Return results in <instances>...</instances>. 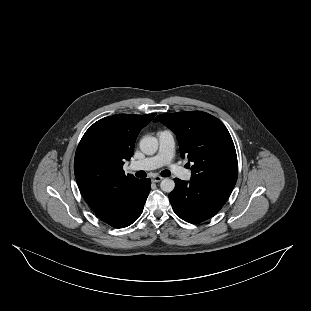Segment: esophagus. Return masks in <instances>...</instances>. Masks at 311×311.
<instances>
[{
	"mask_svg": "<svg viewBox=\"0 0 311 311\" xmlns=\"http://www.w3.org/2000/svg\"><path fill=\"white\" fill-rule=\"evenodd\" d=\"M162 180H163V178H162L161 176H154V177L152 178V181H153L154 183L160 182V181H162Z\"/></svg>",
	"mask_w": 311,
	"mask_h": 311,
	"instance_id": "1",
	"label": "esophagus"
}]
</instances>
